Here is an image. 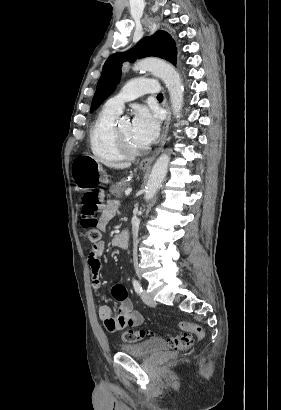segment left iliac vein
Masks as SVG:
<instances>
[{"label": "left iliac vein", "instance_id": "4c4485c4", "mask_svg": "<svg viewBox=\"0 0 281 410\" xmlns=\"http://www.w3.org/2000/svg\"><path fill=\"white\" fill-rule=\"evenodd\" d=\"M141 298L143 302L148 306H154L156 304L153 298L146 291L142 292Z\"/></svg>", "mask_w": 281, "mask_h": 410}]
</instances>
